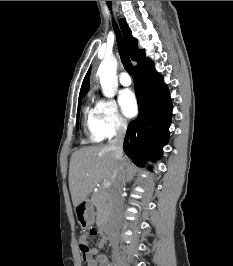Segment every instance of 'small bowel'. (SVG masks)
I'll use <instances>...</instances> for the list:
<instances>
[{
    "instance_id": "obj_1",
    "label": "small bowel",
    "mask_w": 233,
    "mask_h": 266,
    "mask_svg": "<svg viewBox=\"0 0 233 266\" xmlns=\"http://www.w3.org/2000/svg\"><path fill=\"white\" fill-rule=\"evenodd\" d=\"M82 242V239H81ZM103 238L99 240L97 247H89V256L84 259L86 266H109L106 255L99 254L98 249H102L106 246Z\"/></svg>"
}]
</instances>
